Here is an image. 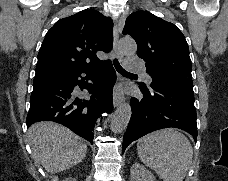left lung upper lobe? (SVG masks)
Masks as SVG:
<instances>
[{"label": "left lung upper lobe", "instance_id": "5c2ea615", "mask_svg": "<svg viewBox=\"0 0 228 181\" xmlns=\"http://www.w3.org/2000/svg\"><path fill=\"white\" fill-rule=\"evenodd\" d=\"M123 34L135 39L137 55L146 62L150 76L193 88L188 44L174 24L137 11L128 16Z\"/></svg>", "mask_w": 228, "mask_h": 181}]
</instances>
